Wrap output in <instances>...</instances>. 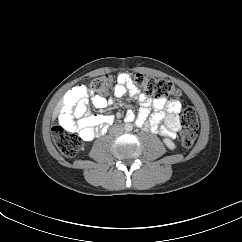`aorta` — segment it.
<instances>
[{
    "label": "aorta",
    "mask_w": 242,
    "mask_h": 242,
    "mask_svg": "<svg viewBox=\"0 0 242 242\" xmlns=\"http://www.w3.org/2000/svg\"><path fill=\"white\" fill-rule=\"evenodd\" d=\"M133 129L132 125L131 124H126L125 125V130L126 131H131Z\"/></svg>",
    "instance_id": "1"
}]
</instances>
